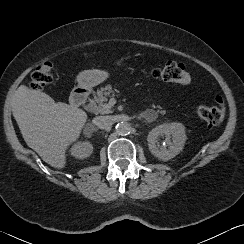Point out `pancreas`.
<instances>
[{
    "label": "pancreas",
    "instance_id": "obj_1",
    "mask_svg": "<svg viewBox=\"0 0 244 244\" xmlns=\"http://www.w3.org/2000/svg\"><path fill=\"white\" fill-rule=\"evenodd\" d=\"M110 96H114V91L112 90L111 85H106L105 87H101L97 90L96 95L92 99L94 109L97 113L108 114L113 112L112 107L106 103ZM150 106L153 108V111H155L154 109L157 108V111H155L157 114H164L161 107L156 106L153 103H151Z\"/></svg>",
    "mask_w": 244,
    "mask_h": 244
}]
</instances>
